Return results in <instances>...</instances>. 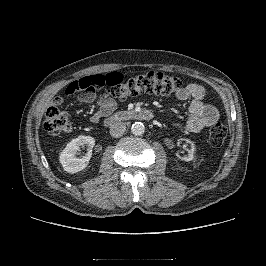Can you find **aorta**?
<instances>
[{
    "label": "aorta",
    "mask_w": 266,
    "mask_h": 266,
    "mask_svg": "<svg viewBox=\"0 0 266 266\" xmlns=\"http://www.w3.org/2000/svg\"><path fill=\"white\" fill-rule=\"evenodd\" d=\"M131 132L132 134L136 135V136H141L144 134L145 132V126L143 123L141 122H135L132 124L131 127Z\"/></svg>",
    "instance_id": "762f6f07"
}]
</instances>
